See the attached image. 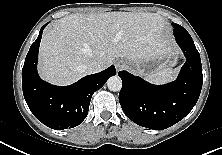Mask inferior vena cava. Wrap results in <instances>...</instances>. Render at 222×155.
Masks as SVG:
<instances>
[{
  "label": "inferior vena cava",
  "instance_id": "1",
  "mask_svg": "<svg viewBox=\"0 0 222 155\" xmlns=\"http://www.w3.org/2000/svg\"><path fill=\"white\" fill-rule=\"evenodd\" d=\"M86 70H87V73L93 74V73L100 72L102 68L99 62L92 61L87 65Z\"/></svg>",
  "mask_w": 222,
  "mask_h": 155
}]
</instances>
